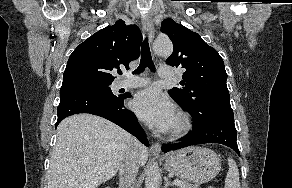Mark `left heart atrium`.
Listing matches in <instances>:
<instances>
[{
  "mask_svg": "<svg viewBox=\"0 0 292 188\" xmlns=\"http://www.w3.org/2000/svg\"><path fill=\"white\" fill-rule=\"evenodd\" d=\"M132 108L144 123L159 131L169 130L176 119L174 105L155 88L140 91Z\"/></svg>",
  "mask_w": 292,
  "mask_h": 188,
  "instance_id": "left-heart-atrium-1",
  "label": "left heart atrium"
}]
</instances>
